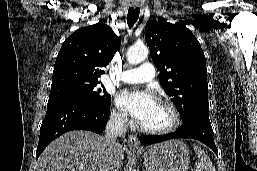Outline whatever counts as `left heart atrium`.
Returning a JSON list of instances; mask_svg holds the SVG:
<instances>
[{"label":"left heart atrium","instance_id":"39dd6f15","mask_svg":"<svg viewBox=\"0 0 257 171\" xmlns=\"http://www.w3.org/2000/svg\"><path fill=\"white\" fill-rule=\"evenodd\" d=\"M118 105L132 117L142 122L156 104L154 96L148 91H123L117 97Z\"/></svg>","mask_w":257,"mask_h":171}]
</instances>
